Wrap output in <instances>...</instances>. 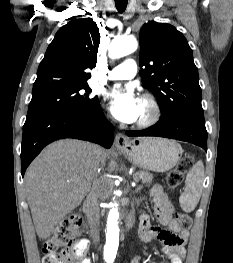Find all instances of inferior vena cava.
I'll return each mask as SVG.
<instances>
[{"label":"inferior vena cava","instance_id":"1","mask_svg":"<svg viewBox=\"0 0 233 263\" xmlns=\"http://www.w3.org/2000/svg\"><path fill=\"white\" fill-rule=\"evenodd\" d=\"M97 152H101L102 149L94 145ZM83 210L86 214L88 224L90 226L91 237L95 244H98L100 241V233H99V226H100V208H99V201H98V192L97 187L94 184L88 197L86 198L83 204Z\"/></svg>","mask_w":233,"mask_h":263}]
</instances>
